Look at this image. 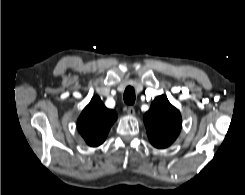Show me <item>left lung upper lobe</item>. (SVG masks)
I'll return each instance as SVG.
<instances>
[{
  "mask_svg": "<svg viewBox=\"0 0 245 195\" xmlns=\"http://www.w3.org/2000/svg\"><path fill=\"white\" fill-rule=\"evenodd\" d=\"M148 138L156 148L170 146L178 137L182 119L180 112L170 104L166 96H158L144 115Z\"/></svg>",
  "mask_w": 245,
  "mask_h": 195,
  "instance_id": "1",
  "label": "left lung upper lobe"
}]
</instances>
